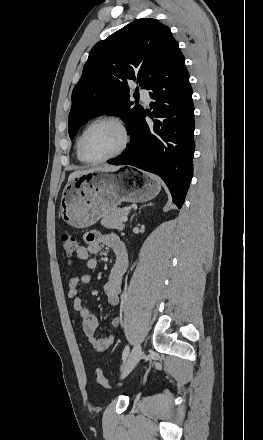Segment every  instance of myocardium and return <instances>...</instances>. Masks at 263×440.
Returning a JSON list of instances; mask_svg holds the SVG:
<instances>
[{"label":"myocardium","mask_w":263,"mask_h":440,"mask_svg":"<svg viewBox=\"0 0 263 440\" xmlns=\"http://www.w3.org/2000/svg\"><path fill=\"white\" fill-rule=\"evenodd\" d=\"M101 122H110V123H113L115 126H117L122 134V142H121V145L119 146V148L114 153H112L106 157H103V158L91 159L85 155V152L83 149L84 139H85L87 133L89 132V130L93 126H95L96 124L101 123ZM130 141H131V136H130V132H129V129H128L126 123L119 117H116L113 115H105V116H100V117L94 119L86 126V128L83 130V132L81 133V135L78 139L77 151H78V155H79V158L81 159V161L88 163V164H99V163H104L109 160H112V159L120 156L121 154H123L125 152V150L128 148Z\"/></svg>","instance_id":"f54148a6"}]
</instances>
